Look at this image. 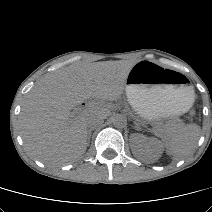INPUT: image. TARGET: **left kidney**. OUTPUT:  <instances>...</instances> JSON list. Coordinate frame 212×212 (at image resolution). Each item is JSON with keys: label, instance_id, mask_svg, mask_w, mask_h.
Returning a JSON list of instances; mask_svg holds the SVG:
<instances>
[{"label": "left kidney", "instance_id": "left-kidney-1", "mask_svg": "<svg viewBox=\"0 0 212 212\" xmlns=\"http://www.w3.org/2000/svg\"><path fill=\"white\" fill-rule=\"evenodd\" d=\"M138 146L134 149L137 158L143 160H155L161 152L162 146L156 138L146 137L142 134L134 135Z\"/></svg>", "mask_w": 212, "mask_h": 212}]
</instances>
